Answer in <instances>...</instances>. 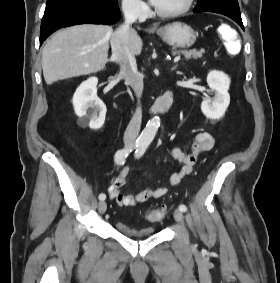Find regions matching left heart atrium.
<instances>
[{
  "label": "left heart atrium",
  "mask_w": 280,
  "mask_h": 283,
  "mask_svg": "<svg viewBox=\"0 0 280 283\" xmlns=\"http://www.w3.org/2000/svg\"><path fill=\"white\" fill-rule=\"evenodd\" d=\"M149 1L154 6H156L158 4V2H159V0H149Z\"/></svg>",
  "instance_id": "obj_1"
}]
</instances>
